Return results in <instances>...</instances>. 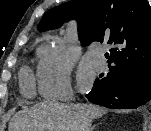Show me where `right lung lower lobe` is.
<instances>
[{"mask_svg":"<svg viewBox=\"0 0 151 131\" xmlns=\"http://www.w3.org/2000/svg\"><path fill=\"white\" fill-rule=\"evenodd\" d=\"M86 97L93 104L114 109L145 105L151 98V66L137 70L110 69L107 77L96 80Z\"/></svg>","mask_w":151,"mask_h":131,"instance_id":"98d812e1","label":"right lung lower lobe"}]
</instances>
